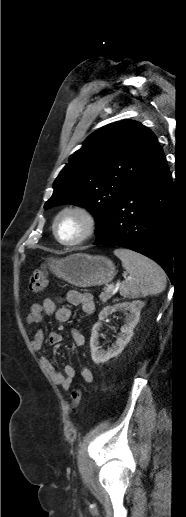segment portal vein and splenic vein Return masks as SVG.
<instances>
[{
  "instance_id": "18ae733b",
  "label": "portal vein and splenic vein",
  "mask_w": 186,
  "mask_h": 517,
  "mask_svg": "<svg viewBox=\"0 0 186 517\" xmlns=\"http://www.w3.org/2000/svg\"><path fill=\"white\" fill-rule=\"evenodd\" d=\"M106 291H115V286H114V284H110V285L107 287Z\"/></svg>"
}]
</instances>
